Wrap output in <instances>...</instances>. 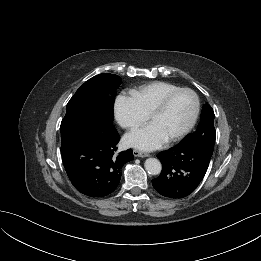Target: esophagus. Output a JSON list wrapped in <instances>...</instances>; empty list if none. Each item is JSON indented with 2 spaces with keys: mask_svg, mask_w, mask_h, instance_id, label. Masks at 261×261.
Here are the masks:
<instances>
[{
  "mask_svg": "<svg viewBox=\"0 0 261 261\" xmlns=\"http://www.w3.org/2000/svg\"><path fill=\"white\" fill-rule=\"evenodd\" d=\"M133 154H134L135 157H142V158L149 156V154L141 152V151L136 150V149L133 151Z\"/></svg>",
  "mask_w": 261,
  "mask_h": 261,
  "instance_id": "esophagus-1",
  "label": "esophagus"
}]
</instances>
